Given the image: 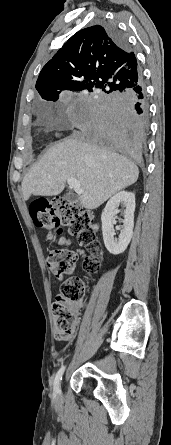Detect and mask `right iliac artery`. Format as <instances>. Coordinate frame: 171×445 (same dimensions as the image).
<instances>
[{"label": "right iliac artery", "instance_id": "right-iliac-artery-1", "mask_svg": "<svg viewBox=\"0 0 171 445\" xmlns=\"http://www.w3.org/2000/svg\"><path fill=\"white\" fill-rule=\"evenodd\" d=\"M64 370H65V366H62L60 369H59V371L57 372V374H56V377H55V380H54V391L56 392V393H58L59 392V386H60V381L62 380V375H63V373H64Z\"/></svg>", "mask_w": 171, "mask_h": 445}]
</instances>
